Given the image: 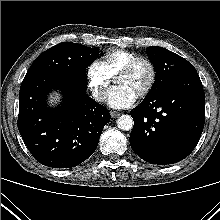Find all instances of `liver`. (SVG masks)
<instances>
[{
	"label": "liver",
	"mask_w": 220,
	"mask_h": 220,
	"mask_svg": "<svg viewBox=\"0 0 220 220\" xmlns=\"http://www.w3.org/2000/svg\"><path fill=\"white\" fill-rule=\"evenodd\" d=\"M52 99L50 100V103L52 104V103H56L58 100H59V95L58 94H56V97H51Z\"/></svg>",
	"instance_id": "liver-1"
}]
</instances>
